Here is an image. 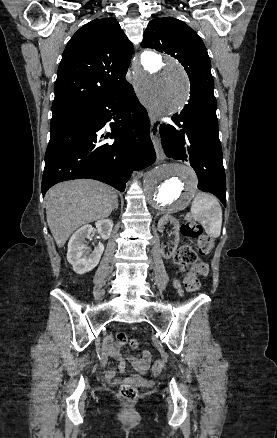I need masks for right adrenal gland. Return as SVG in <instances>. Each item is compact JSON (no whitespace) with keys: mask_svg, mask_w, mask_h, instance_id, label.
Segmentation results:
<instances>
[{"mask_svg":"<svg viewBox=\"0 0 277 438\" xmlns=\"http://www.w3.org/2000/svg\"><path fill=\"white\" fill-rule=\"evenodd\" d=\"M118 206H119V204H118V202H117V204H116V206H115V210H118Z\"/></svg>","mask_w":277,"mask_h":438,"instance_id":"obj_1","label":"right adrenal gland"}]
</instances>
